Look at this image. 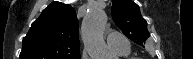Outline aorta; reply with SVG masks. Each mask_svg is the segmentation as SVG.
Here are the masks:
<instances>
[{
  "label": "aorta",
  "mask_w": 193,
  "mask_h": 59,
  "mask_svg": "<svg viewBox=\"0 0 193 59\" xmlns=\"http://www.w3.org/2000/svg\"><path fill=\"white\" fill-rule=\"evenodd\" d=\"M107 16L101 9L91 10L82 23L85 45L92 59H115L116 56L107 49L103 34Z\"/></svg>",
  "instance_id": "aorta-1"
}]
</instances>
